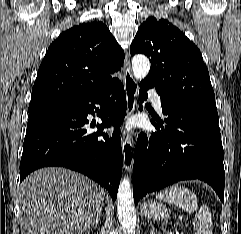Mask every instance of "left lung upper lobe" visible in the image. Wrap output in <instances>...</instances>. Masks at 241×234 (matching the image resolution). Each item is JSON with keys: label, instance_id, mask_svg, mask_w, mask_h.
Segmentation results:
<instances>
[{"label": "left lung upper lobe", "instance_id": "obj_1", "mask_svg": "<svg viewBox=\"0 0 241 234\" xmlns=\"http://www.w3.org/2000/svg\"><path fill=\"white\" fill-rule=\"evenodd\" d=\"M130 53L150 58V72L143 81L153 84L164 97L217 112L199 49L169 21L146 19L138 28Z\"/></svg>", "mask_w": 241, "mask_h": 234}]
</instances>
